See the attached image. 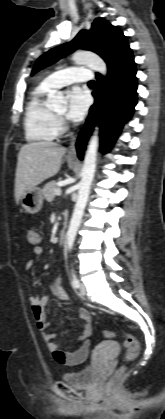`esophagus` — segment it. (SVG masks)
<instances>
[{
    "label": "esophagus",
    "instance_id": "1",
    "mask_svg": "<svg viewBox=\"0 0 165 419\" xmlns=\"http://www.w3.org/2000/svg\"><path fill=\"white\" fill-rule=\"evenodd\" d=\"M78 137H79V133H77L71 140V144H70V147H69V150H68V156H70V157H75L76 156L75 145L77 143Z\"/></svg>",
    "mask_w": 165,
    "mask_h": 419
}]
</instances>
